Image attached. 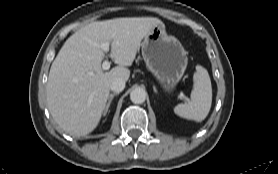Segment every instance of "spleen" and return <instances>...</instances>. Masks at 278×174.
<instances>
[{
  "instance_id": "spleen-1",
  "label": "spleen",
  "mask_w": 278,
  "mask_h": 174,
  "mask_svg": "<svg viewBox=\"0 0 278 174\" xmlns=\"http://www.w3.org/2000/svg\"><path fill=\"white\" fill-rule=\"evenodd\" d=\"M190 98V102L178 104L174 108V112L186 119L203 121L211 108L212 86L207 70L201 66H198L194 73V84Z\"/></svg>"
}]
</instances>
